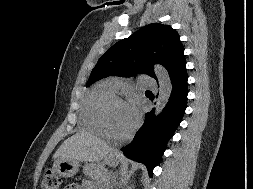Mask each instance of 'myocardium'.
I'll use <instances>...</instances> for the list:
<instances>
[{
  "label": "myocardium",
  "instance_id": "f54148a6",
  "mask_svg": "<svg viewBox=\"0 0 253 189\" xmlns=\"http://www.w3.org/2000/svg\"><path fill=\"white\" fill-rule=\"evenodd\" d=\"M116 103H125V101L122 97L117 96V95H113L112 97L105 100V102L102 104L101 109H100V123L103 129V132L107 137L118 139V140H127L132 137V135L138 128L140 121L137 120L135 124L133 125V127L129 131L123 134H117L113 132L109 126L108 114H109V110L111 106Z\"/></svg>",
  "mask_w": 253,
  "mask_h": 189
}]
</instances>
